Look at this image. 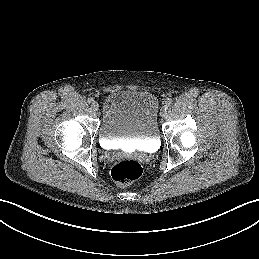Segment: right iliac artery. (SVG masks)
I'll return each instance as SVG.
<instances>
[{
  "label": "right iliac artery",
  "mask_w": 259,
  "mask_h": 259,
  "mask_svg": "<svg viewBox=\"0 0 259 259\" xmlns=\"http://www.w3.org/2000/svg\"><path fill=\"white\" fill-rule=\"evenodd\" d=\"M93 101H94V100H93L92 98H88V99H87V102H88L89 104H92Z\"/></svg>",
  "instance_id": "82829eb1"
}]
</instances>
